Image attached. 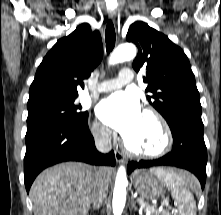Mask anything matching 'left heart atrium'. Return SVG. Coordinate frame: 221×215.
<instances>
[{
	"label": "left heart atrium",
	"mask_w": 221,
	"mask_h": 215,
	"mask_svg": "<svg viewBox=\"0 0 221 215\" xmlns=\"http://www.w3.org/2000/svg\"><path fill=\"white\" fill-rule=\"evenodd\" d=\"M97 114L104 124L123 138L135 131L143 115L138 98L126 92L115 93L101 101Z\"/></svg>",
	"instance_id": "39dd6f15"
}]
</instances>
